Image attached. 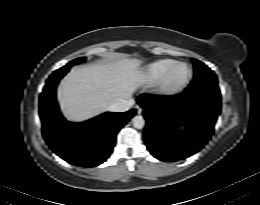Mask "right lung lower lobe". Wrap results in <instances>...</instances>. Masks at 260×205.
<instances>
[{"label":"right lung lower lobe","mask_w":260,"mask_h":205,"mask_svg":"<svg viewBox=\"0 0 260 205\" xmlns=\"http://www.w3.org/2000/svg\"><path fill=\"white\" fill-rule=\"evenodd\" d=\"M56 70L40 95L39 114L46 143L63 160L80 167H94L111 154L118 131L135 114L107 112L83 123L67 122L57 106L56 86L69 71Z\"/></svg>","instance_id":"obj_1"}]
</instances>
